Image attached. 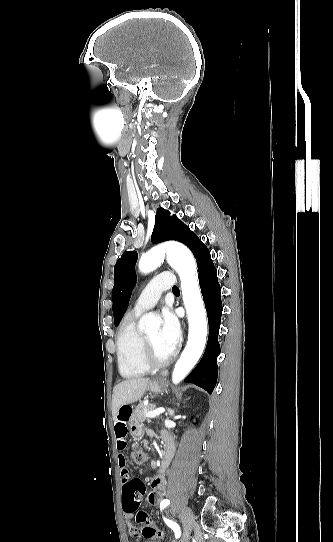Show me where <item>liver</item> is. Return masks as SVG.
I'll return each mask as SVG.
<instances>
[{
	"mask_svg": "<svg viewBox=\"0 0 333 542\" xmlns=\"http://www.w3.org/2000/svg\"><path fill=\"white\" fill-rule=\"evenodd\" d=\"M150 378H128L113 388L112 394V416L114 422L117 420L121 406L134 404L143 398Z\"/></svg>",
	"mask_w": 333,
	"mask_h": 542,
	"instance_id": "6515ba94",
	"label": "liver"
}]
</instances>
